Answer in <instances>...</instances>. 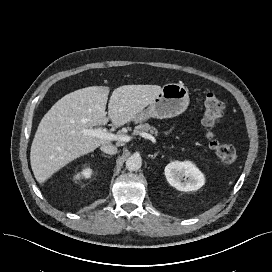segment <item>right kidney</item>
<instances>
[{
    "label": "right kidney",
    "instance_id": "obj_1",
    "mask_svg": "<svg viewBox=\"0 0 272 272\" xmlns=\"http://www.w3.org/2000/svg\"><path fill=\"white\" fill-rule=\"evenodd\" d=\"M92 174H93V170L91 168L87 167V168H84L81 172L77 173L75 175V178L76 179H82V178L88 179L92 176Z\"/></svg>",
    "mask_w": 272,
    "mask_h": 272
}]
</instances>
